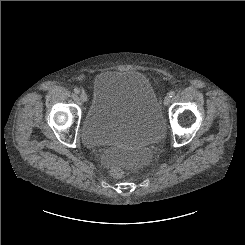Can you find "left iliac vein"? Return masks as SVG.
Listing matches in <instances>:
<instances>
[{
  "label": "left iliac vein",
  "instance_id": "left-iliac-vein-1",
  "mask_svg": "<svg viewBox=\"0 0 245 245\" xmlns=\"http://www.w3.org/2000/svg\"><path fill=\"white\" fill-rule=\"evenodd\" d=\"M170 103V97H169V95H167V96H165V98H164V104L165 105H168Z\"/></svg>",
  "mask_w": 245,
  "mask_h": 245
}]
</instances>
